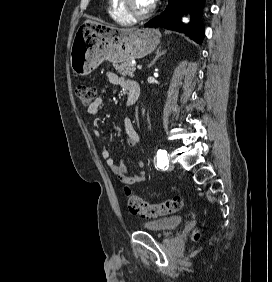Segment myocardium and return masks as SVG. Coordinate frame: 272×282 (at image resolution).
Wrapping results in <instances>:
<instances>
[{
    "label": "myocardium",
    "instance_id": "1",
    "mask_svg": "<svg viewBox=\"0 0 272 282\" xmlns=\"http://www.w3.org/2000/svg\"><path fill=\"white\" fill-rule=\"evenodd\" d=\"M121 1L120 7L121 9L132 19H143L148 17L155 10V4L152 5L150 9L144 12H139L135 9L132 0H119Z\"/></svg>",
    "mask_w": 272,
    "mask_h": 282
}]
</instances>
